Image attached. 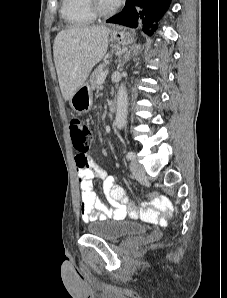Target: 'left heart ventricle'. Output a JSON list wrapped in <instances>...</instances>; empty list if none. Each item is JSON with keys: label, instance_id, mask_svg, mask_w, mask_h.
<instances>
[{"label": "left heart ventricle", "instance_id": "1", "mask_svg": "<svg viewBox=\"0 0 227 298\" xmlns=\"http://www.w3.org/2000/svg\"><path fill=\"white\" fill-rule=\"evenodd\" d=\"M99 5L103 8H110L111 6H109L106 2V0H97Z\"/></svg>", "mask_w": 227, "mask_h": 298}]
</instances>
